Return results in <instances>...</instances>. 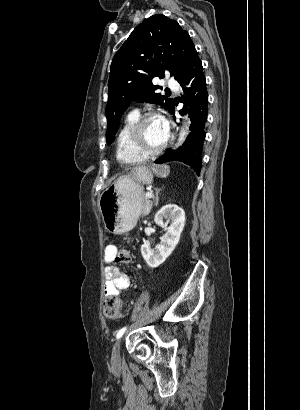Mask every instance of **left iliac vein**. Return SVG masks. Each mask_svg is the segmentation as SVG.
Wrapping results in <instances>:
<instances>
[{"label": "left iliac vein", "mask_w": 300, "mask_h": 410, "mask_svg": "<svg viewBox=\"0 0 300 410\" xmlns=\"http://www.w3.org/2000/svg\"><path fill=\"white\" fill-rule=\"evenodd\" d=\"M121 340H117L112 349L111 362L113 365H118L121 362Z\"/></svg>", "instance_id": "left-iliac-vein-1"}]
</instances>
